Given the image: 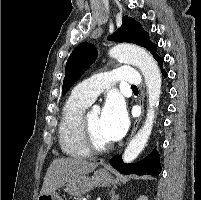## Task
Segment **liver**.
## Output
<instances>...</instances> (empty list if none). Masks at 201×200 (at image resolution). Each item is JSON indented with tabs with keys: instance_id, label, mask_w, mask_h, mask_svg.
<instances>
[{
	"instance_id": "obj_1",
	"label": "liver",
	"mask_w": 201,
	"mask_h": 200,
	"mask_svg": "<svg viewBox=\"0 0 201 200\" xmlns=\"http://www.w3.org/2000/svg\"><path fill=\"white\" fill-rule=\"evenodd\" d=\"M98 166L81 158H58L50 164L44 177L40 194H48L56 191L77 175L92 172Z\"/></svg>"
}]
</instances>
